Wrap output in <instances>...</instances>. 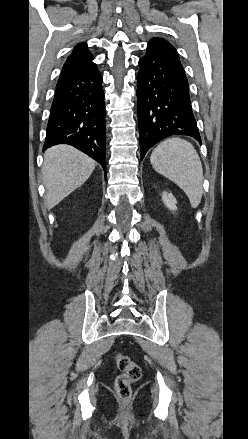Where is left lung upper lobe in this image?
I'll use <instances>...</instances> for the list:
<instances>
[{"mask_svg": "<svg viewBox=\"0 0 248 439\" xmlns=\"http://www.w3.org/2000/svg\"><path fill=\"white\" fill-rule=\"evenodd\" d=\"M151 41H157V42H161V43H165L168 44L170 46H172L170 43H168L166 40L161 39V38H153ZM173 47V46H172Z\"/></svg>", "mask_w": 248, "mask_h": 439, "instance_id": "obj_1", "label": "left lung upper lobe"}]
</instances>
